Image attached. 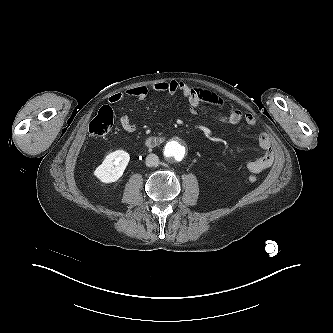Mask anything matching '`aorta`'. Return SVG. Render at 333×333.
I'll return each mask as SVG.
<instances>
[{"mask_svg":"<svg viewBox=\"0 0 333 333\" xmlns=\"http://www.w3.org/2000/svg\"><path fill=\"white\" fill-rule=\"evenodd\" d=\"M164 155L169 159L180 161L185 155L184 146L177 141L169 142L165 146Z\"/></svg>","mask_w":333,"mask_h":333,"instance_id":"aorta-1","label":"aorta"}]
</instances>
